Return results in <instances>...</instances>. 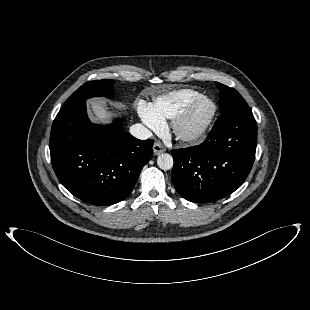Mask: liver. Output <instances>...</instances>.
Segmentation results:
<instances>
[{
	"label": "liver",
	"mask_w": 310,
	"mask_h": 310,
	"mask_svg": "<svg viewBox=\"0 0 310 310\" xmlns=\"http://www.w3.org/2000/svg\"><path fill=\"white\" fill-rule=\"evenodd\" d=\"M90 107L94 115L93 120L102 124L110 122L112 113L104 103L97 100H92L90 101Z\"/></svg>",
	"instance_id": "obj_1"
}]
</instances>
